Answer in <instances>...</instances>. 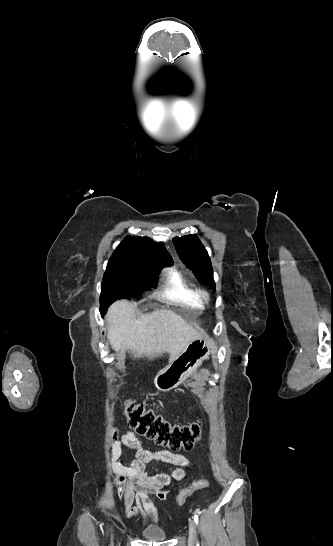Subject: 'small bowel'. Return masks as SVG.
Here are the masks:
<instances>
[{
	"mask_svg": "<svg viewBox=\"0 0 333 546\" xmlns=\"http://www.w3.org/2000/svg\"><path fill=\"white\" fill-rule=\"evenodd\" d=\"M121 444L134 452V460L130 466L117 462L121 454ZM111 468L118 485H128L130 490L125 499V514L128 518L140 519L143 522L157 521L158 513L154 507L147 505L149 494H155L162 502L167 499V487L180 481L185 476L184 468L190 465L189 459L179 453L168 450H151L144 448L133 432L126 431L120 441L115 442L111 449ZM156 460L178 466L171 474L149 473L146 463ZM135 502V505L133 504Z\"/></svg>",
	"mask_w": 333,
	"mask_h": 546,
	"instance_id": "small-bowel-1",
	"label": "small bowel"
}]
</instances>
